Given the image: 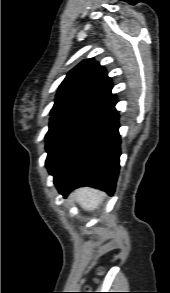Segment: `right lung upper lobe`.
Returning <instances> with one entry per match:
<instances>
[{"instance_id": "cb5924a9", "label": "right lung upper lobe", "mask_w": 170, "mask_h": 293, "mask_svg": "<svg viewBox=\"0 0 170 293\" xmlns=\"http://www.w3.org/2000/svg\"><path fill=\"white\" fill-rule=\"evenodd\" d=\"M105 69L93 59L73 68L59 86L51 115L76 107L114 108L116 97Z\"/></svg>"}]
</instances>
